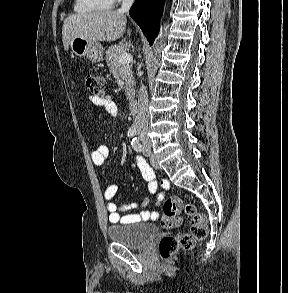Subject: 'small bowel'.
<instances>
[{"label":"small bowel","instance_id":"small-bowel-1","mask_svg":"<svg viewBox=\"0 0 288 293\" xmlns=\"http://www.w3.org/2000/svg\"><path fill=\"white\" fill-rule=\"evenodd\" d=\"M86 98L96 107L103 108L107 113L112 116H117L119 112V103L113 98L112 95L92 96L87 95ZM109 155V148L104 144H92V150L90 153L91 160L95 165H102ZM134 168H138L148 184V190L151 194H156L158 190V183L155 180V174L148 163L141 157H137L132 165ZM119 186L116 183L109 184L104 192V197L107 201L106 209L108 211V220L112 224L122 223L130 224L143 222L148 220H156L158 213L149 210H142L139 213H130L124 216L120 215V211H129L138 207V204L133 202L123 206H119L113 201L118 192ZM164 198L163 193L157 194V203L159 204ZM148 202L145 199L142 205H146Z\"/></svg>","mask_w":288,"mask_h":293}]
</instances>
